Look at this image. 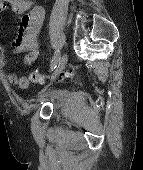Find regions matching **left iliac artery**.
<instances>
[{"mask_svg":"<svg viewBox=\"0 0 143 170\" xmlns=\"http://www.w3.org/2000/svg\"><path fill=\"white\" fill-rule=\"evenodd\" d=\"M59 59H60V53L59 51H56L51 61V69H55L57 67Z\"/></svg>","mask_w":143,"mask_h":170,"instance_id":"1","label":"left iliac artery"}]
</instances>
